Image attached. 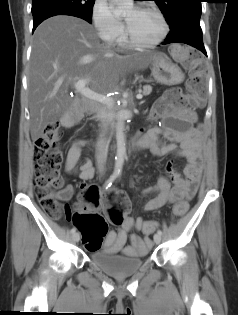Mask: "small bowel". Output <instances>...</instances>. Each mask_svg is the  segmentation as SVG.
<instances>
[{
  "label": "small bowel",
  "mask_w": 238,
  "mask_h": 315,
  "mask_svg": "<svg viewBox=\"0 0 238 315\" xmlns=\"http://www.w3.org/2000/svg\"><path fill=\"white\" fill-rule=\"evenodd\" d=\"M162 132V129L159 127L140 131L135 138L137 149H149L158 157L177 154L187 160V165L184 169V176H181L174 168L173 162L167 164L166 176H160L154 186L143 191L144 195L153 196L143 204L144 211L161 208L167 203H172L176 200L190 199L197 189L202 172L200 160L203 133L201 127L196 126L186 131L170 133L173 141L180 142V147L173 142L161 140L160 135ZM85 144L86 142L83 140L73 141L69 146L66 159L67 172L77 176L82 181H87L94 176V167L90 159H86L78 166V160ZM170 180H172L173 185H171ZM72 194L73 187L68 185L58 191L56 196L59 200L66 201L71 198ZM99 201L101 202V200ZM128 207H130V202ZM92 210H94L93 207ZM69 217H72V215H69ZM145 222L141 217L134 219L128 216V219L124 220L117 232H110L105 235L106 238L103 245L105 252L114 254L121 251L124 255L130 257L144 255L152 246L151 238L149 236L141 238L137 234L127 236V233L132 229L141 230ZM127 238L130 244L125 246Z\"/></svg>",
  "instance_id": "1"
}]
</instances>
